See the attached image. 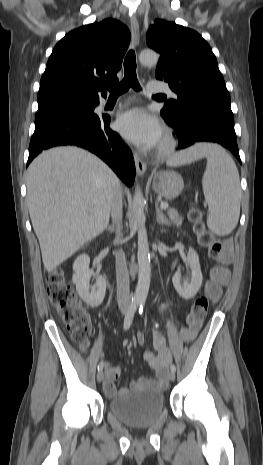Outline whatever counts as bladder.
Here are the masks:
<instances>
[{
    "label": "bladder",
    "instance_id": "1",
    "mask_svg": "<svg viewBox=\"0 0 263 465\" xmlns=\"http://www.w3.org/2000/svg\"><path fill=\"white\" fill-rule=\"evenodd\" d=\"M164 407V394L146 387L121 393L108 403L109 413L133 428L152 426L161 416Z\"/></svg>",
    "mask_w": 263,
    "mask_h": 465
}]
</instances>
